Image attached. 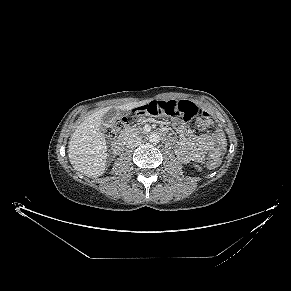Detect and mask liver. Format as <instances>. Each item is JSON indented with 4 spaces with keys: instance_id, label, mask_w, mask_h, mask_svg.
<instances>
[{
    "instance_id": "obj_1",
    "label": "liver",
    "mask_w": 291,
    "mask_h": 291,
    "mask_svg": "<svg viewBox=\"0 0 291 291\" xmlns=\"http://www.w3.org/2000/svg\"><path fill=\"white\" fill-rule=\"evenodd\" d=\"M149 100L131 102L116 106L115 109L129 111L147 104ZM112 109L111 106L100 109L89 115L76 128L68 146L70 163L80 173L96 178L101 176L106 168V139L100 127L103 115Z\"/></svg>"
}]
</instances>
